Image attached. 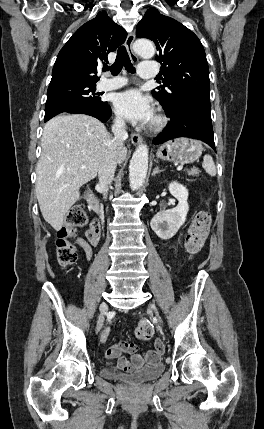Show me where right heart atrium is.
<instances>
[{"instance_id": "1", "label": "right heart atrium", "mask_w": 264, "mask_h": 429, "mask_svg": "<svg viewBox=\"0 0 264 429\" xmlns=\"http://www.w3.org/2000/svg\"><path fill=\"white\" fill-rule=\"evenodd\" d=\"M116 125L121 126L122 125V121L120 119H116Z\"/></svg>"}]
</instances>
